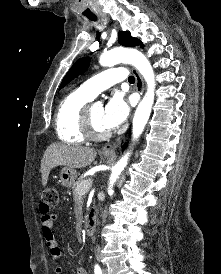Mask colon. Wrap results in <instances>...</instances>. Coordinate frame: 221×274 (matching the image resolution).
I'll list each match as a JSON object with an SVG mask.
<instances>
[{
    "label": "colon",
    "mask_w": 221,
    "mask_h": 274,
    "mask_svg": "<svg viewBox=\"0 0 221 274\" xmlns=\"http://www.w3.org/2000/svg\"><path fill=\"white\" fill-rule=\"evenodd\" d=\"M41 200L50 207L55 206L59 200L58 191L53 187L45 188L41 193Z\"/></svg>",
    "instance_id": "obj_1"
}]
</instances>
